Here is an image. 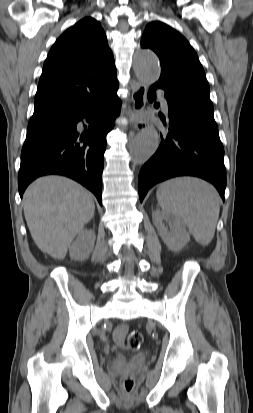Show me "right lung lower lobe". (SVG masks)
I'll return each mask as SVG.
<instances>
[{"label": "right lung lower lobe", "instance_id": "right-lung-lower-lobe-1", "mask_svg": "<svg viewBox=\"0 0 253 413\" xmlns=\"http://www.w3.org/2000/svg\"><path fill=\"white\" fill-rule=\"evenodd\" d=\"M118 86L114 75L95 97L71 105L54 123L27 133L18 175L21 197L37 177L60 174L84 185L102 203L106 135L113 129L121 103ZM83 119L88 124L81 130L78 122Z\"/></svg>", "mask_w": 253, "mask_h": 413}]
</instances>
